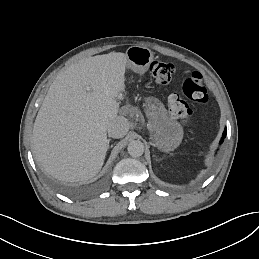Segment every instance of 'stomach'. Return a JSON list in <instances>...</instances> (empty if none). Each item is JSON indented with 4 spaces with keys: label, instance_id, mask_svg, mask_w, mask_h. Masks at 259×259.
Wrapping results in <instances>:
<instances>
[{
    "label": "stomach",
    "instance_id": "stomach-1",
    "mask_svg": "<svg viewBox=\"0 0 259 259\" xmlns=\"http://www.w3.org/2000/svg\"><path fill=\"white\" fill-rule=\"evenodd\" d=\"M126 55L129 63L135 71L147 69L153 60L152 51L143 46H131L127 49Z\"/></svg>",
    "mask_w": 259,
    "mask_h": 259
}]
</instances>
